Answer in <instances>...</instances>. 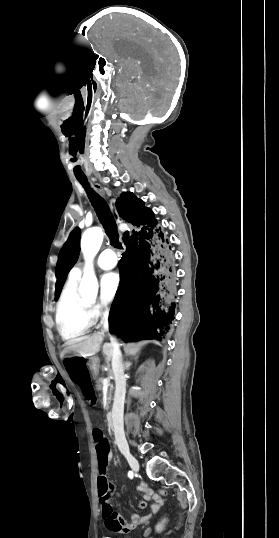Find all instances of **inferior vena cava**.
I'll use <instances>...</instances> for the list:
<instances>
[{
    "instance_id": "inferior-vena-cava-1",
    "label": "inferior vena cava",
    "mask_w": 279,
    "mask_h": 538,
    "mask_svg": "<svg viewBox=\"0 0 279 538\" xmlns=\"http://www.w3.org/2000/svg\"><path fill=\"white\" fill-rule=\"evenodd\" d=\"M104 318H105V321H104ZM108 311H105L104 313V317H103V320L101 321V324L103 323V328L104 330H102L103 334L104 332H107L108 331ZM110 340H111V344H109V346L112 345L113 347V362H112V365H113V370L115 372V382H116V393H115V398H114V405H113V410H112V423L114 426V429L113 431L115 432V438H116V441L117 442V445L119 447V449L121 450V452L125 455V457L127 458L128 456H132L129 452V447H128V444H127V441H126V438H125V434H124V430H123V408H124V399H125V385H126V380L125 378H127L125 375H123V365H122V362H121V353H120V350H119V345L121 344H118V341L117 339L114 338V335H110Z\"/></svg>"
}]
</instances>
